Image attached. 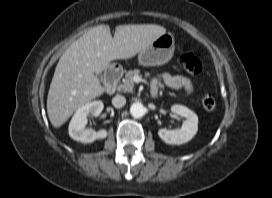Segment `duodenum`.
I'll return each instance as SVG.
<instances>
[{"instance_id":"1","label":"duodenum","mask_w":272,"mask_h":198,"mask_svg":"<svg viewBox=\"0 0 272 198\" xmlns=\"http://www.w3.org/2000/svg\"><path fill=\"white\" fill-rule=\"evenodd\" d=\"M122 77L121 67L110 68L105 75V90L108 94H113L117 88V84Z\"/></svg>"}]
</instances>
